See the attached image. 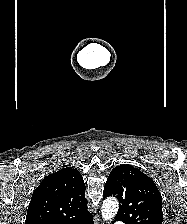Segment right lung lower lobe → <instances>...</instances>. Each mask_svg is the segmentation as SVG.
<instances>
[{
	"label": "right lung lower lobe",
	"mask_w": 187,
	"mask_h": 224,
	"mask_svg": "<svg viewBox=\"0 0 187 224\" xmlns=\"http://www.w3.org/2000/svg\"><path fill=\"white\" fill-rule=\"evenodd\" d=\"M82 224H94V222H93V217L90 218V219H88V220H86V221L83 222Z\"/></svg>",
	"instance_id": "right-lung-lower-lobe-1"
}]
</instances>
